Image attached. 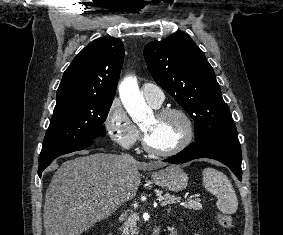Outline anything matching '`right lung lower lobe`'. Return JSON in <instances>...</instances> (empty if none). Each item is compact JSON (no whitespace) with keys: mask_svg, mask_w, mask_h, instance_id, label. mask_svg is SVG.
Here are the masks:
<instances>
[{"mask_svg":"<svg viewBox=\"0 0 283 235\" xmlns=\"http://www.w3.org/2000/svg\"><path fill=\"white\" fill-rule=\"evenodd\" d=\"M93 143V141H88V142H79L76 144H73L71 146H68L66 148H63L59 151H57L56 153H54L53 155L49 156L47 159L39 162V169H38V175L41 177V174L43 172V170L58 156L63 155V154H67V153H71L74 151H79L82 149H85L86 147L90 146Z\"/></svg>","mask_w":283,"mask_h":235,"instance_id":"98d812e1","label":"right lung lower lobe"}]
</instances>
